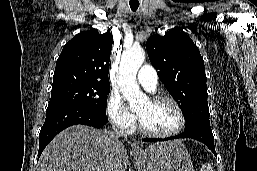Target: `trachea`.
Returning a JSON list of instances; mask_svg holds the SVG:
<instances>
[{
    "label": "trachea",
    "mask_w": 257,
    "mask_h": 171,
    "mask_svg": "<svg viewBox=\"0 0 257 171\" xmlns=\"http://www.w3.org/2000/svg\"><path fill=\"white\" fill-rule=\"evenodd\" d=\"M139 7V3H130V8L132 11H136Z\"/></svg>",
    "instance_id": "3493384b"
}]
</instances>
